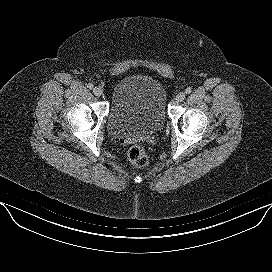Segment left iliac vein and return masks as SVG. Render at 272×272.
<instances>
[{
	"mask_svg": "<svg viewBox=\"0 0 272 272\" xmlns=\"http://www.w3.org/2000/svg\"><path fill=\"white\" fill-rule=\"evenodd\" d=\"M185 98H186V94L184 92L178 93L175 97L177 102H182Z\"/></svg>",
	"mask_w": 272,
	"mask_h": 272,
	"instance_id": "4c4485c4",
	"label": "left iliac vein"
}]
</instances>
